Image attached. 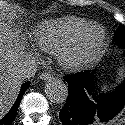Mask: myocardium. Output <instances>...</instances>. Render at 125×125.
<instances>
[{"mask_svg":"<svg viewBox=\"0 0 125 125\" xmlns=\"http://www.w3.org/2000/svg\"><path fill=\"white\" fill-rule=\"evenodd\" d=\"M105 40L103 27L90 23L64 44L57 53L58 61L68 71L80 70L100 56Z\"/></svg>","mask_w":125,"mask_h":125,"instance_id":"obj_1","label":"myocardium"}]
</instances>
